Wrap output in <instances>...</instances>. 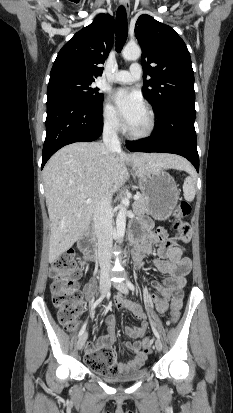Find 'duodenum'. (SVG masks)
Segmentation results:
<instances>
[{
  "label": "duodenum",
  "mask_w": 233,
  "mask_h": 413,
  "mask_svg": "<svg viewBox=\"0 0 233 413\" xmlns=\"http://www.w3.org/2000/svg\"><path fill=\"white\" fill-rule=\"evenodd\" d=\"M130 241L134 244V253H133V264L138 267L140 266V255L138 251V242L139 235L134 233L130 237ZM78 245L80 250L86 255L90 256L93 259L97 258V249L94 239V234L91 229H86L79 238Z\"/></svg>",
  "instance_id": "1"
}]
</instances>
